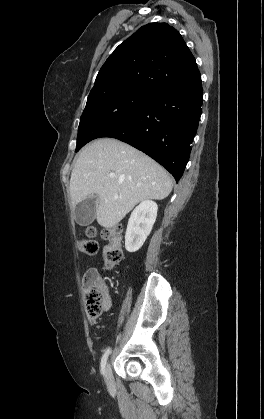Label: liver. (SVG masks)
Returning <instances> with one entry per match:
<instances>
[{"label":"liver","instance_id":"6515ba94","mask_svg":"<svg viewBox=\"0 0 264 419\" xmlns=\"http://www.w3.org/2000/svg\"><path fill=\"white\" fill-rule=\"evenodd\" d=\"M172 186L166 170L149 156L119 140L103 138L80 152L69 189L74 209L88 196H96L97 222L109 229L140 201L165 199Z\"/></svg>","mask_w":264,"mask_h":419}]
</instances>
